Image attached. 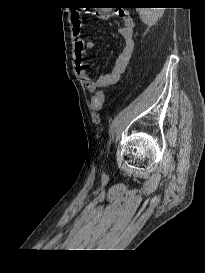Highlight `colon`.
<instances>
[{"label": "colon", "instance_id": "1", "mask_svg": "<svg viewBox=\"0 0 205 273\" xmlns=\"http://www.w3.org/2000/svg\"><path fill=\"white\" fill-rule=\"evenodd\" d=\"M104 102V94L99 92L92 99V107L95 110H100Z\"/></svg>", "mask_w": 205, "mask_h": 273}]
</instances>
